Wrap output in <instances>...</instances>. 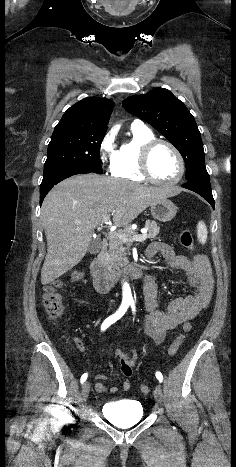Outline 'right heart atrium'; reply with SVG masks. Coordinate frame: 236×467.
Wrapping results in <instances>:
<instances>
[{"label":"right heart atrium","instance_id":"right-heart-atrium-1","mask_svg":"<svg viewBox=\"0 0 236 467\" xmlns=\"http://www.w3.org/2000/svg\"><path fill=\"white\" fill-rule=\"evenodd\" d=\"M99 157L103 165L112 169L117 157L114 133L108 132L101 140L99 145Z\"/></svg>","mask_w":236,"mask_h":467}]
</instances>
